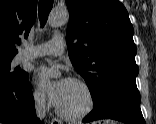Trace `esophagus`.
Masks as SVG:
<instances>
[{"label": "esophagus", "mask_w": 156, "mask_h": 124, "mask_svg": "<svg viewBox=\"0 0 156 124\" xmlns=\"http://www.w3.org/2000/svg\"><path fill=\"white\" fill-rule=\"evenodd\" d=\"M51 124H61V122H60L59 119L53 118V119L51 120Z\"/></svg>", "instance_id": "1"}]
</instances>
